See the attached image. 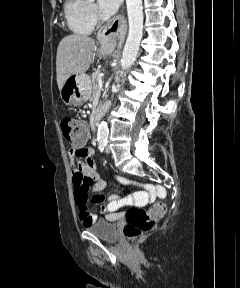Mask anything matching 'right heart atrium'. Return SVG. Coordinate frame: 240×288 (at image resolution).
I'll use <instances>...</instances> for the list:
<instances>
[{
    "mask_svg": "<svg viewBox=\"0 0 240 288\" xmlns=\"http://www.w3.org/2000/svg\"><path fill=\"white\" fill-rule=\"evenodd\" d=\"M88 12L94 21L98 19L99 14L94 4L88 3Z\"/></svg>",
    "mask_w": 240,
    "mask_h": 288,
    "instance_id": "right-heart-atrium-1",
    "label": "right heart atrium"
}]
</instances>
